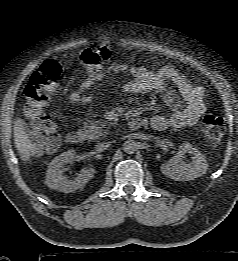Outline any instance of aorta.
I'll return each instance as SVG.
<instances>
[{
	"mask_svg": "<svg viewBox=\"0 0 238 261\" xmlns=\"http://www.w3.org/2000/svg\"><path fill=\"white\" fill-rule=\"evenodd\" d=\"M138 145L137 142L133 139H128L123 144V150L127 154H133L137 151Z\"/></svg>",
	"mask_w": 238,
	"mask_h": 261,
	"instance_id": "aorta-1",
	"label": "aorta"
}]
</instances>
